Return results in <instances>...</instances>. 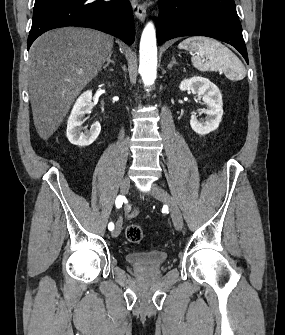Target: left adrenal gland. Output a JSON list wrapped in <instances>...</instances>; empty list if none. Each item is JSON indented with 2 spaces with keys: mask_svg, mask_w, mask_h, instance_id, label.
<instances>
[{
  "mask_svg": "<svg viewBox=\"0 0 285 335\" xmlns=\"http://www.w3.org/2000/svg\"><path fill=\"white\" fill-rule=\"evenodd\" d=\"M174 64H177L176 58H172V62H170V64H168V66H167L168 70H170V68H172V66H174Z\"/></svg>",
  "mask_w": 285,
  "mask_h": 335,
  "instance_id": "obj_1",
  "label": "left adrenal gland"
}]
</instances>
